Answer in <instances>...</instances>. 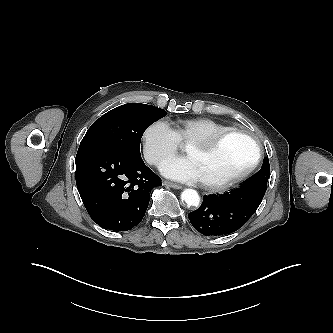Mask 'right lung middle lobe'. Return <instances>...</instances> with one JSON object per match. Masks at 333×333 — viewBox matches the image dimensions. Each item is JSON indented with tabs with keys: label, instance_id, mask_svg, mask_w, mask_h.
<instances>
[{
	"label": "right lung middle lobe",
	"instance_id": "right-lung-middle-lobe-1",
	"mask_svg": "<svg viewBox=\"0 0 333 333\" xmlns=\"http://www.w3.org/2000/svg\"><path fill=\"white\" fill-rule=\"evenodd\" d=\"M164 109L128 103L105 113L88 129L79 148L107 146L140 155V141L153 122L166 115Z\"/></svg>",
	"mask_w": 333,
	"mask_h": 333
}]
</instances>
